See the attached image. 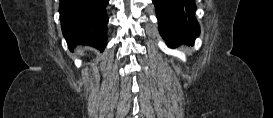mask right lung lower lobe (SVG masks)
Here are the masks:
<instances>
[{"label": "right lung lower lobe", "instance_id": "98d812e1", "mask_svg": "<svg viewBox=\"0 0 273 118\" xmlns=\"http://www.w3.org/2000/svg\"><path fill=\"white\" fill-rule=\"evenodd\" d=\"M109 0H60L63 35L70 49L87 44L103 51L107 44Z\"/></svg>", "mask_w": 273, "mask_h": 118}]
</instances>
